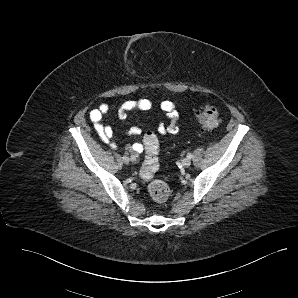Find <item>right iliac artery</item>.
Here are the masks:
<instances>
[{
  "label": "right iliac artery",
  "mask_w": 298,
  "mask_h": 298,
  "mask_svg": "<svg viewBox=\"0 0 298 298\" xmlns=\"http://www.w3.org/2000/svg\"><path fill=\"white\" fill-rule=\"evenodd\" d=\"M130 159H131L132 162L136 161V157L135 156H131Z\"/></svg>",
  "instance_id": "82829eb1"
}]
</instances>
